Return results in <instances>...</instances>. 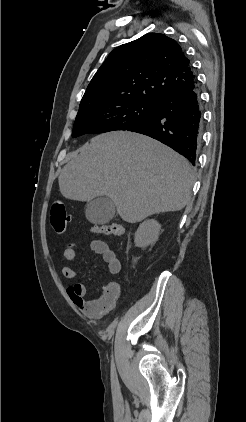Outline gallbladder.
<instances>
[{
    "label": "gallbladder",
    "mask_w": 246,
    "mask_h": 422,
    "mask_svg": "<svg viewBox=\"0 0 246 422\" xmlns=\"http://www.w3.org/2000/svg\"><path fill=\"white\" fill-rule=\"evenodd\" d=\"M115 205L113 201L106 196H99L87 203L86 218L93 224H106L115 215Z\"/></svg>",
    "instance_id": "gallbladder-1"
}]
</instances>
